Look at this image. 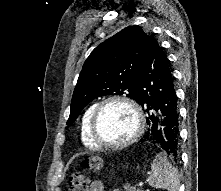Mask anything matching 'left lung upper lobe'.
Returning <instances> with one entry per match:
<instances>
[{"label":"left lung upper lobe","mask_w":221,"mask_h":191,"mask_svg":"<svg viewBox=\"0 0 221 191\" xmlns=\"http://www.w3.org/2000/svg\"><path fill=\"white\" fill-rule=\"evenodd\" d=\"M152 39L141 27L128 26L98 45L82 67L67 124L97 97L126 95L136 101L138 77Z\"/></svg>","instance_id":"obj_1"}]
</instances>
